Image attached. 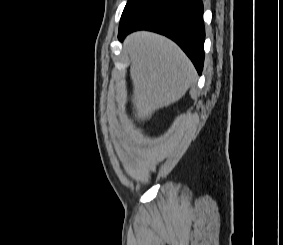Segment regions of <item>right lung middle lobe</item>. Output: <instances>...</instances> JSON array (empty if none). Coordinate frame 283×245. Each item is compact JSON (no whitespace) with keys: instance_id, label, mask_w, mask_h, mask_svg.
Wrapping results in <instances>:
<instances>
[{"instance_id":"dd1d6c3e","label":"right lung middle lobe","mask_w":283,"mask_h":245,"mask_svg":"<svg viewBox=\"0 0 283 245\" xmlns=\"http://www.w3.org/2000/svg\"><path fill=\"white\" fill-rule=\"evenodd\" d=\"M151 0H128L121 16L120 23L127 21Z\"/></svg>"}]
</instances>
